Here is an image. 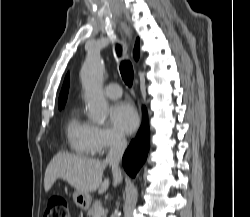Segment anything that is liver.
I'll list each match as a JSON object with an SVG mask.
<instances>
[{
	"label": "liver",
	"mask_w": 250,
	"mask_h": 217,
	"mask_svg": "<svg viewBox=\"0 0 250 217\" xmlns=\"http://www.w3.org/2000/svg\"><path fill=\"white\" fill-rule=\"evenodd\" d=\"M107 164L100 160L86 158L65 152H59L48 164L44 189L48 192L57 179H63L78 192H94L98 190L103 194L109 187V178H103V172ZM113 185H117L119 179L113 175Z\"/></svg>",
	"instance_id": "6515ba94"
}]
</instances>
